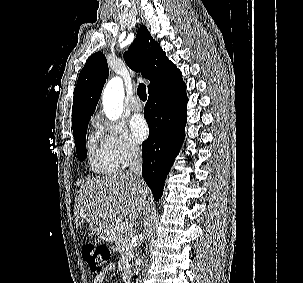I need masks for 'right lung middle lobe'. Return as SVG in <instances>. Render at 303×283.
I'll list each match as a JSON object with an SVG mask.
<instances>
[{
  "instance_id": "1",
  "label": "right lung middle lobe",
  "mask_w": 303,
  "mask_h": 283,
  "mask_svg": "<svg viewBox=\"0 0 303 283\" xmlns=\"http://www.w3.org/2000/svg\"><path fill=\"white\" fill-rule=\"evenodd\" d=\"M89 120L73 128V134L75 138V147L79 161L86 159V132Z\"/></svg>"
}]
</instances>
